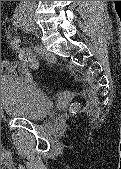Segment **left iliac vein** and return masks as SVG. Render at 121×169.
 <instances>
[{
  "mask_svg": "<svg viewBox=\"0 0 121 169\" xmlns=\"http://www.w3.org/2000/svg\"><path fill=\"white\" fill-rule=\"evenodd\" d=\"M24 30L27 31V32L30 31V29L25 24H24Z\"/></svg>",
  "mask_w": 121,
  "mask_h": 169,
  "instance_id": "left-iliac-vein-1",
  "label": "left iliac vein"
}]
</instances>
